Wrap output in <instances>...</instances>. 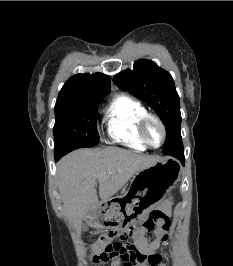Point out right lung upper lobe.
<instances>
[{"label":"right lung upper lobe","mask_w":233,"mask_h":266,"mask_svg":"<svg viewBox=\"0 0 233 266\" xmlns=\"http://www.w3.org/2000/svg\"><path fill=\"white\" fill-rule=\"evenodd\" d=\"M110 92V78L103 73L76 74L68 79L57 101L88 97H102Z\"/></svg>","instance_id":"right-lung-upper-lobe-1"}]
</instances>
